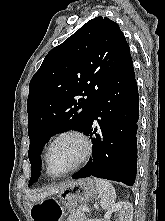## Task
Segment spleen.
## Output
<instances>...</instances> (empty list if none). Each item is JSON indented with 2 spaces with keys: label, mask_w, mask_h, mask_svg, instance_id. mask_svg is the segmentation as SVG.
Masks as SVG:
<instances>
[{
  "label": "spleen",
  "mask_w": 165,
  "mask_h": 221,
  "mask_svg": "<svg viewBox=\"0 0 165 221\" xmlns=\"http://www.w3.org/2000/svg\"><path fill=\"white\" fill-rule=\"evenodd\" d=\"M95 184L99 193L100 206L104 210H109L115 204V188L110 182L102 179H95Z\"/></svg>",
  "instance_id": "1"
}]
</instances>
